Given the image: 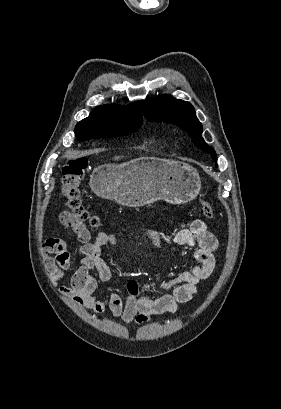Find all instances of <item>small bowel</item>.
<instances>
[{"label": "small bowel", "mask_w": 281, "mask_h": 409, "mask_svg": "<svg viewBox=\"0 0 281 409\" xmlns=\"http://www.w3.org/2000/svg\"><path fill=\"white\" fill-rule=\"evenodd\" d=\"M60 222L63 226L71 228L80 242L76 249L79 256L78 265L70 286L61 287V292L76 304L95 313H101L108 308L113 317L121 319L126 325H141L147 323L153 316L176 313L179 304L188 302L197 293L198 283L211 277L217 264L218 241L204 221L193 219L187 228L165 239L155 231L149 230L146 235L156 244L165 240L175 245L196 247L192 256L199 265H193L168 279L158 277L160 286L172 289V295L158 298H153L149 294L139 295L138 283L129 280L128 295L125 299L116 293L102 298L97 293L99 282L109 281L112 276L110 268L102 259V250L107 244L113 243L117 236L99 232L91 238L89 230L70 211L61 213ZM42 253L45 268L56 282L71 265L66 243L59 238H49L42 246ZM51 253H55L56 256L51 257Z\"/></svg>", "instance_id": "obj_1"}]
</instances>
